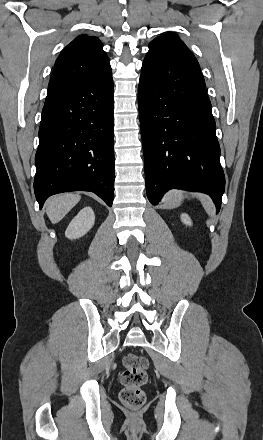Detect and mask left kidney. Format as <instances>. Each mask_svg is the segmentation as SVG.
<instances>
[{"instance_id":"5707ae66","label":"left kidney","mask_w":263,"mask_h":440,"mask_svg":"<svg viewBox=\"0 0 263 440\" xmlns=\"http://www.w3.org/2000/svg\"><path fill=\"white\" fill-rule=\"evenodd\" d=\"M181 221H182L184 224L188 225V226H191V225H192V221H191L190 217H189L186 213H183V214L181 215Z\"/></svg>"}]
</instances>
